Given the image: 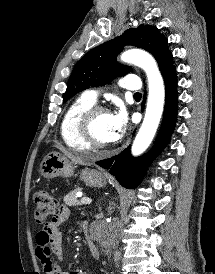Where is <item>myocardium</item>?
<instances>
[{
	"label": "myocardium",
	"mask_w": 215,
	"mask_h": 274,
	"mask_svg": "<svg viewBox=\"0 0 215 274\" xmlns=\"http://www.w3.org/2000/svg\"><path fill=\"white\" fill-rule=\"evenodd\" d=\"M100 113H109V110L103 106L94 105L83 113L79 121V132L82 139L94 149H104L112 144V142H100L94 135L93 124Z\"/></svg>",
	"instance_id": "obj_1"
}]
</instances>
